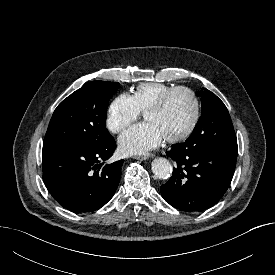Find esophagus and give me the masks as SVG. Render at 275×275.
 Listing matches in <instances>:
<instances>
[{
  "label": "esophagus",
  "mask_w": 275,
  "mask_h": 275,
  "mask_svg": "<svg viewBox=\"0 0 275 275\" xmlns=\"http://www.w3.org/2000/svg\"><path fill=\"white\" fill-rule=\"evenodd\" d=\"M134 159H137V160H146L148 159L147 156H144V155H135L133 156Z\"/></svg>",
  "instance_id": "esophagus-1"
}]
</instances>
